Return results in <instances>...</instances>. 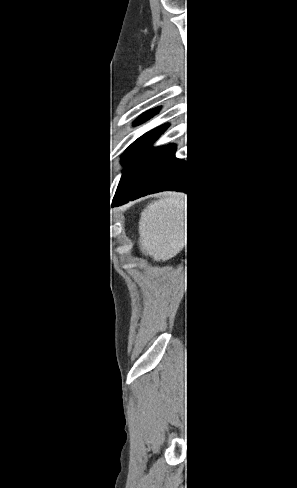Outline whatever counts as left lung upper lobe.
<instances>
[{"label":"left lung upper lobe","mask_w":297,"mask_h":488,"mask_svg":"<svg viewBox=\"0 0 297 488\" xmlns=\"http://www.w3.org/2000/svg\"><path fill=\"white\" fill-rule=\"evenodd\" d=\"M158 112V109L150 110L141 115L136 123L152 117ZM168 125H162L153 131L146 133L133 144L121 156L122 164L125 166L121 180L119 182L115 197L124 193L146 165L161 151L164 147H151V144L166 130ZM114 197V198H115Z\"/></svg>","instance_id":"obj_1"}]
</instances>
